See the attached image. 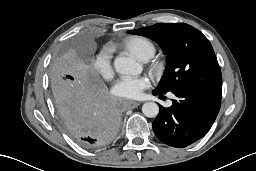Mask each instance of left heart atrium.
Segmentation results:
<instances>
[{"label":"left heart atrium","instance_id":"left-heart-atrium-1","mask_svg":"<svg viewBox=\"0 0 256 171\" xmlns=\"http://www.w3.org/2000/svg\"><path fill=\"white\" fill-rule=\"evenodd\" d=\"M150 81L147 77H123L113 87V94L116 97L136 99L143 91L149 88Z\"/></svg>","mask_w":256,"mask_h":171}]
</instances>
